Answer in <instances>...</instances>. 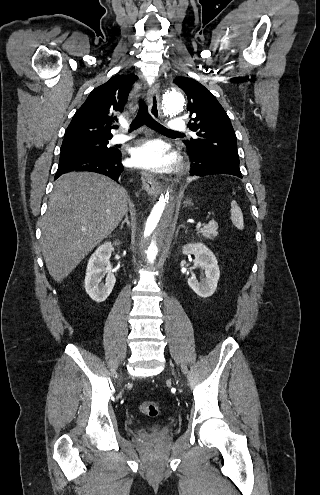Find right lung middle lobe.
Returning <instances> with one entry per match:
<instances>
[{
    "mask_svg": "<svg viewBox=\"0 0 320 495\" xmlns=\"http://www.w3.org/2000/svg\"><path fill=\"white\" fill-rule=\"evenodd\" d=\"M110 138H82L75 140L63 141L61 146L62 153H109L112 149L107 147Z\"/></svg>",
    "mask_w": 320,
    "mask_h": 495,
    "instance_id": "1",
    "label": "right lung middle lobe"
}]
</instances>
